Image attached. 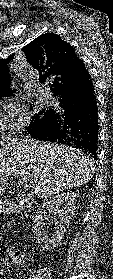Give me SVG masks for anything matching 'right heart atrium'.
Wrapping results in <instances>:
<instances>
[{
    "mask_svg": "<svg viewBox=\"0 0 113 279\" xmlns=\"http://www.w3.org/2000/svg\"><path fill=\"white\" fill-rule=\"evenodd\" d=\"M29 108L18 98H9L0 105V127L7 135L22 132L30 120Z\"/></svg>",
    "mask_w": 113,
    "mask_h": 279,
    "instance_id": "d8ad5b80",
    "label": "right heart atrium"
}]
</instances>
